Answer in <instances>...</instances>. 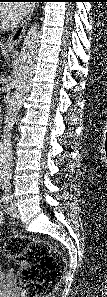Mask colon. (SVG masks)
I'll return each mask as SVG.
<instances>
[{
    "label": "colon",
    "instance_id": "1",
    "mask_svg": "<svg viewBox=\"0 0 107 297\" xmlns=\"http://www.w3.org/2000/svg\"><path fill=\"white\" fill-rule=\"evenodd\" d=\"M3 251L22 268L18 280L22 297H44L54 291L65 266L55 247L33 237L10 236Z\"/></svg>",
    "mask_w": 107,
    "mask_h": 297
}]
</instances>
